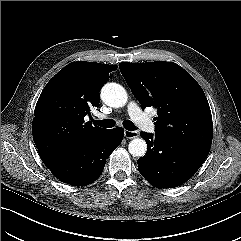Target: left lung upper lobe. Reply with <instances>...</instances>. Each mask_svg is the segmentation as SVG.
<instances>
[{
  "label": "left lung upper lobe",
  "instance_id": "left-lung-upper-lobe-1",
  "mask_svg": "<svg viewBox=\"0 0 241 241\" xmlns=\"http://www.w3.org/2000/svg\"><path fill=\"white\" fill-rule=\"evenodd\" d=\"M119 68L140 104L158 109L156 134L210 149V107L202 88L187 71L164 61L123 62Z\"/></svg>",
  "mask_w": 241,
  "mask_h": 241
}]
</instances>
